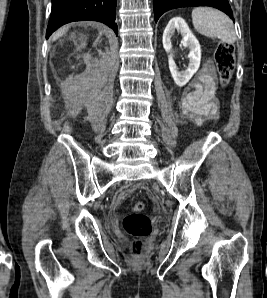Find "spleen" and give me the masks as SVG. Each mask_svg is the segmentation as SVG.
Listing matches in <instances>:
<instances>
[{
	"instance_id": "3e777b00",
	"label": "spleen",
	"mask_w": 267,
	"mask_h": 298,
	"mask_svg": "<svg viewBox=\"0 0 267 298\" xmlns=\"http://www.w3.org/2000/svg\"><path fill=\"white\" fill-rule=\"evenodd\" d=\"M195 30L207 37H217L222 42L233 44L236 34L232 20L223 12L210 7H196L192 11Z\"/></svg>"
}]
</instances>
